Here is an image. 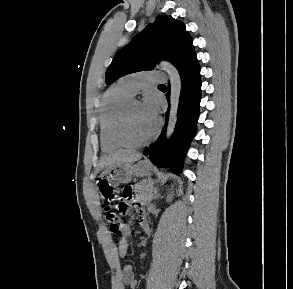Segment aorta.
I'll use <instances>...</instances> for the list:
<instances>
[{"label":"aorta","instance_id":"762f6f07","mask_svg":"<svg viewBox=\"0 0 293 289\" xmlns=\"http://www.w3.org/2000/svg\"><path fill=\"white\" fill-rule=\"evenodd\" d=\"M162 66L167 71L170 85H171V95H170V115L169 121L167 126V138H170L177 121V111H178V104L179 98L181 93V79L177 69L169 63H162Z\"/></svg>","mask_w":293,"mask_h":289}]
</instances>
